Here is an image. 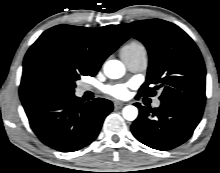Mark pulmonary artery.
<instances>
[{
	"mask_svg": "<svg viewBox=\"0 0 220 173\" xmlns=\"http://www.w3.org/2000/svg\"><path fill=\"white\" fill-rule=\"evenodd\" d=\"M121 57L126 64L127 68L131 72H141L146 68L147 61H146V54L145 52H138L134 54H121ZM160 100L156 99L153 102L154 107H159Z\"/></svg>",
	"mask_w": 220,
	"mask_h": 173,
	"instance_id": "pulmonary-artery-1",
	"label": "pulmonary artery"
}]
</instances>
